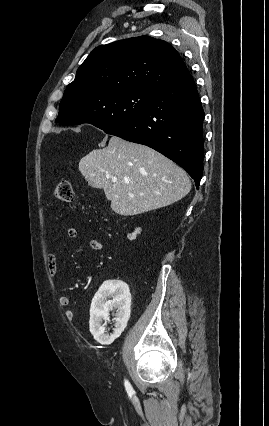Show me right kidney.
Masks as SVG:
<instances>
[{
	"label": "right kidney",
	"instance_id": "obj_1",
	"mask_svg": "<svg viewBox=\"0 0 269 426\" xmlns=\"http://www.w3.org/2000/svg\"><path fill=\"white\" fill-rule=\"evenodd\" d=\"M140 231V228H136L133 233L127 235V238L130 241L135 240ZM108 298L112 299L108 300ZM130 302L131 295L126 283L115 280L103 283L95 295L90 308V332L97 342L107 344L114 339L115 335L109 336L105 334V327L102 325V320H108L109 310L116 307L118 310L115 318V326L120 327L129 311Z\"/></svg>",
	"mask_w": 269,
	"mask_h": 426
}]
</instances>
